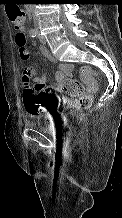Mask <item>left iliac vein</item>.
I'll list each match as a JSON object with an SVG mask.
<instances>
[{"mask_svg":"<svg viewBox=\"0 0 122 218\" xmlns=\"http://www.w3.org/2000/svg\"><path fill=\"white\" fill-rule=\"evenodd\" d=\"M38 38H39V41H40L43 45L46 44V39H45L44 37L38 36Z\"/></svg>","mask_w":122,"mask_h":218,"instance_id":"obj_1","label":"left iliac vein"}]
</instances>
